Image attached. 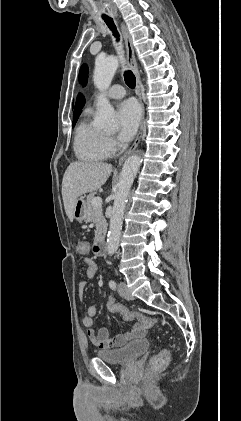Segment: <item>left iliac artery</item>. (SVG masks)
Returning <instances> with one entry per match:
<instances>
[{
  "label": "left iliac artery",
  "instance_id": "obj_1",
  "mask_svg": "<svg viewBox=\"0 0 241 421\" xmlns=\"http://www.w3.org/2000/svg\"><path fill=\"white\" fill-rule=\"evenodd\" d=\"M109 287H110L111 289H116V287H117L116 282H115L114 280H110V282H109Z\"/></svg>",
  "mask_w": 241,
  "mask_h": 421
}]
</instances>
